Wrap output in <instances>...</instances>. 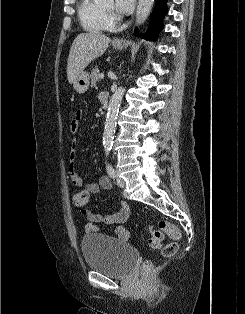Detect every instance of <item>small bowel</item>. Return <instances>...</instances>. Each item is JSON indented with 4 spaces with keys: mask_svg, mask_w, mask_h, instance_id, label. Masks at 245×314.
Instances as JSON below:
<instances>
[{
    "mask_svg": "<svg viewBox=\"0 0 245 314\" xmlns=\"http://www.w3.org/2000/svg\"><path fill=\"white\" fill-rule=\"evenodd\" d=\"M82 118V112L77 111L70 123V131L76 133L79 128V122ZM76 139L72 141V149L69 155V177L73 186L83 187V190L90 194H96L100 189L111 190L113 187L112 181L107 176L100 177L98 183H84L83 179L79 175L76 169L77 152ZM84 217L88 223L84 227L86 233H92L99 231L98 223H104L106 225H115L112 230V235L120 241H128L131 238V233L127 230L123 224L127 221L130 215V208L125 201H121V208L113 214L102 216L97 213H93L89 210L82 211Z\"/></svg>",
    "mask_w": 245,
    "mask_h": 314,
    "instance_id": "small-bowel-1",
    "label": "small bowel"
}]
</instances>
